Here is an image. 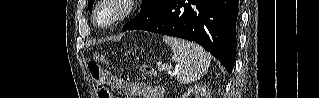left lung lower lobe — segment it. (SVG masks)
I'll return each instance as SVG.
<instances>
[{"instance_id":"1","label":"left lung lower lobe","mask_w":319,"mask_h":98,"mask_svg":"<svg viewBox=\"0 0 319 98\" xmlns=\"http://www.w3.org/2000/svg\"><path fill=\"white\" fill-rule=\"evenodd\" d=\"M237 19V0H165L159 16L139 29L195 41L231 73Z\"/></svg>"}]
</instances>
